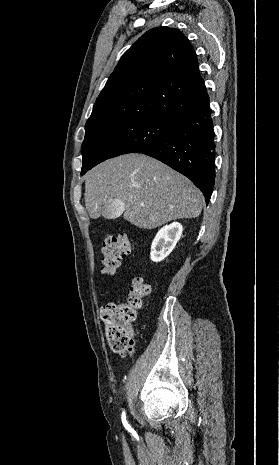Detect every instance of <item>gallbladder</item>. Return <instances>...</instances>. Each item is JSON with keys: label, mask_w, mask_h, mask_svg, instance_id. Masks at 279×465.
I'll return each instance as SVG.
<instances>
[{"label": "gallbladder", "mask_w": 279, "mask_h": 465, "mask_svg": "<svg viewBox=\"0 0 279 465\" xmlns=\"http://www.w3.org/2000/svg\"><path fill=\"white\" fill-rule=\"evenodd\" d=\"M123 202L119 199H112L109 202H106L102 207V215L104 218L109 220L117 219L122 214Z\"/></svg>", "instance_id": "1"}]
</instances>
